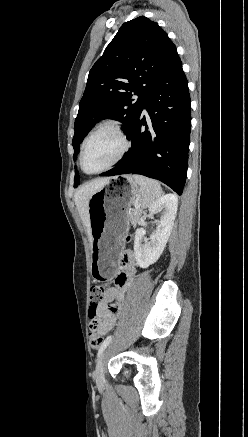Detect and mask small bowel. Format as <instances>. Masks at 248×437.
Here are the masks:
<instances>
[{"label": "small bowel", "mask_w": 248, "mask_h": 437, "mask_svg": "<svg viewBox=\"0 0 248 437\" xmlns=\"http://www.w3.org/2000/svg\"><path fill=\"white\" fill-rule=\"evenodd\" d=\"M122 272L117 276L115 283L106 290L103 302L98 307L97 331L101 335L110 332L119 318L125 291L132 287L135 276L134 255L126 250L122 255Z\"/></svg>", "instance_id": "1"}]
</instances>
